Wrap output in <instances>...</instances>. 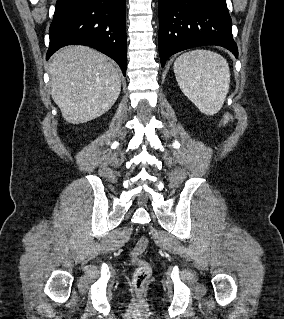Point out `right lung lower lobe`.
<instances>
[{
    "instance_id": "obj_1",
    "label": "right lung lower lobe",
    "mask_w": 284,
    "mask_h": 319,
    "mask_svg": "<svg viewBox=\"0 0 284 319\" xmlns=\"http://www.w3.org/2000/svg\"><path fill=\"white\" fill-rule=\"evenodd\" d=\"M46 59L79 44L114 59L126 74V0H57Z\"/></svg>"
}]
</instances>
